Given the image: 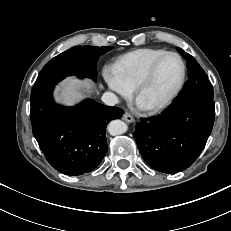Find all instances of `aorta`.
<instances>
[{"label":"aorta","mask_w":231,"mask_h":231,"mask_svg":"<svg viewBox=\"0 0 231 231\" xmlns=\"http://www.w3.org/2000/svg\"><path fill=\"white\" fill-rule=\"evenodd\" d=\"M127 130V124L121 120H113L108 125L109 134L112 136L121 135L125 133Z\"/></svg>","instance_id":"aorta-1"}]
</instances>
